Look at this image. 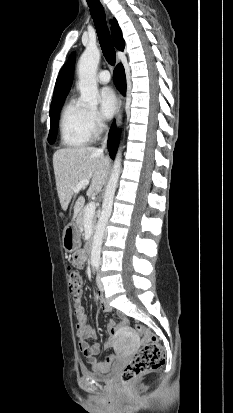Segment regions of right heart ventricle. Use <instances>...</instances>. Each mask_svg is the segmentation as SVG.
<instances>
[{
    "label": "right heart ventricle",
    "instance_id": "right-heart-ventricle-1",
    "mask_svg": "<svg viewBox=\"0 0 233 413\" xmlns=\"http://www.w3.org/2000/svg\"><path fill=\"white\" fill-rule=\"evenodd\" d=\"M89 110L75 98L63 107L60 117V139L66 148H81L89 144L93 131L88 119Z\"/></svg>",
    "mask_w": 233,
    "mask_h": 413
}]
</instances>
